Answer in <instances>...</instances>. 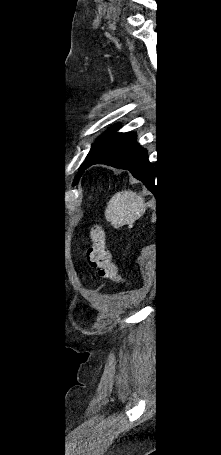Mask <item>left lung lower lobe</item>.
<instances>
[{
  "instance_id": "obj_1",
  "label": "left lung lower lobe",
  "mask_w": 221,
  "mask_h": 455,
  "mask_svg": "<svg viewBox=\"0 0 221 455\" xmlns=\"http://www.w3.org/2000/svg\"><path fill=\"white\" fill-rule=\"evenodd\" d=\"M94 164H106L119 169H127L150 191L153 193L156 191L154 168L148 160L147 150L136 143L134 133H121L114 138L86 163L80 176L87 167Z\"/></svg>"
}]
</instances>
